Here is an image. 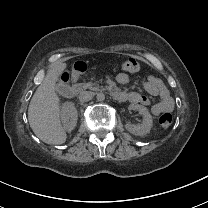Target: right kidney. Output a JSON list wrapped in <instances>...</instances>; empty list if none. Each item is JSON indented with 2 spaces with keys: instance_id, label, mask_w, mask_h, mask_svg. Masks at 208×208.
Instances as JSON below:
<instances>
[{
  "instance_id": "ca27d5eb",
  "label": "right kidney",
  "mask_w": 208,
  "mask_h": 208,
  "mask_svg": "<svg viewBox=\"0 0 208 208\" xmlns=\"http://www.w3.org/2000/svg\"><path fill=\"white\" fill-rule=\"evenodd\" d=\"M77 110L72 103H65L62 106L61 119L66 130L71 131L77 125Z\"/></svg>"
}]
</instances>
